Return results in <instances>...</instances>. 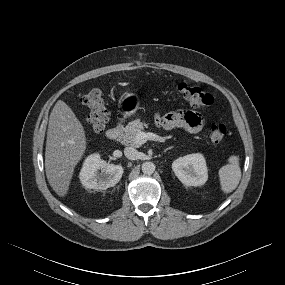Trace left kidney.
<instances>
[{
    "instance_id": "5707ae66",
    "label": "left kidney",
    "mask_w": 285,
    "mask_h": 285,
    "mask_svg": "<svg viewBox=\"0 0 285 285\" xmlns=\"http://www.w3.org/2000/svg\"><path fill=\"white\" fill-rule=\"evenodd\" d=\"M172 170L186 186H201L208 179L206 161L200 153L179 157L172 163Z\"/></svg>"
}]
</instances>
